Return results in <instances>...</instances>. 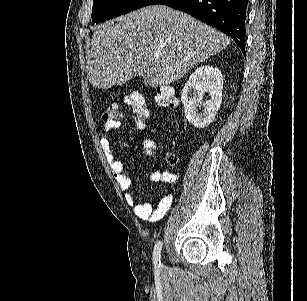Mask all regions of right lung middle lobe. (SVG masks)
<instances>
[{
    "instance_id": "obj_1",
    "label": "right lung middle lobe",
    "mask_w": 307,
    "mask_h": 301,
    "mask_svg": "<svg viewBox=\"0 0 307 301\" xmlns=\"http://www.w3.org/2000/svg\"><path fill=\"white\" fill-rule=\"evenodd\" d=\"M150 0H94L92 8L93 23L102 22L113 17L146 6Z\"/></svg>"
}]
</instances>
